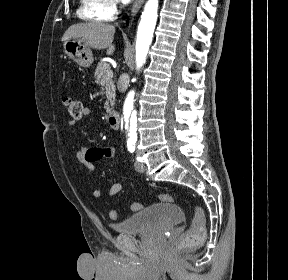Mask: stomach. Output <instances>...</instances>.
<instances>
[{"label": "stomach", "instance_id": "0dacf381", "mask_svg": "<svg viewBox=\"0 0 288 280\" xmlns=\"http://www.w3.org/2000/svg\"><path fill=\"white\" fill-rule=\"evenodd\" d=\"M65 54L82 67H89L93 63V54L90 47L76 39L64 41Z\"/></svg>", "mask_w": 288, "mask_h": 280}]
</instances>
